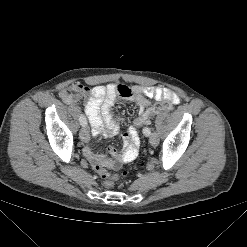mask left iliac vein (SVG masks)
<instances>
[{"label": "left iliac vein", "mask_w": 247, "mask_h": 247, "mask_svg": "<svg viewBox=\"0 0 247 247\" xmlns=\"http://www.w3.org/2000/svg\"><path fill=\"white\" fill-rule=\"evenodd\" d=\"M149 142L152 146H156L158 144V137L156 133H152L149 137Z\"/></svg>", "instance_id": "left-iliac-vein-1"}]
</instances>
